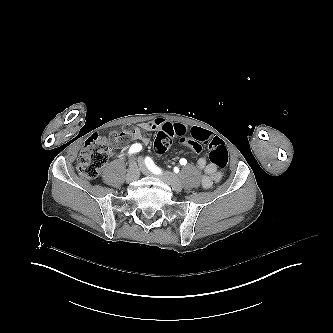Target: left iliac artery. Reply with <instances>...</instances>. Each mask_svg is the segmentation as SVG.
I'll return each mask as SVG.
<instances>
[{"label":"left iliac artery","instance_id":"44dca946","mask_svg":"<svg viewBox=\"0 0 333 333\" xmlns=\"http://www.w3.org/2000/svg\"><path fill=\"white\" fill-rule=\"evenodd\" d=\"M145 163H146V166L150 169L151 172L155 173V174H160L161 173V170L156 167V165L154 164L153 160L149 157H146L145 159ZM187 163V160L182 158L180 159V164L181 165H186Z\"/></svg>","mask_w":333,"mask_h":333}]
</instances>
